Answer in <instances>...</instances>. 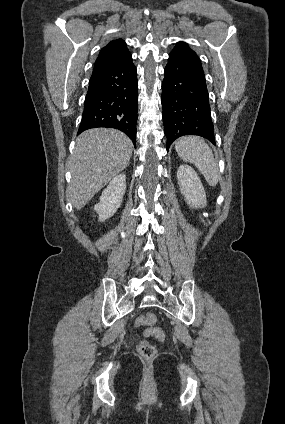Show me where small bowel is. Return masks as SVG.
Returning <instances> with one entry per match:
<instances>
[{"label":"small bowel","mask_w":285,"mask_h":424,"mask_svg":"<svg viewBox=\"0 0 285 424\" xmlns=\"http://www.w3.org/2000/svg\"><path fill=\"white\" fill-rule=\"evenodd\" d=\"M146 334H147L148 336H153V335L151 334V331H150V330H147V331H146Z\"/></svg>","instance_id":"c3829d8e"}]
</instances>
